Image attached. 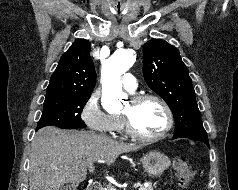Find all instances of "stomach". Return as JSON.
Listing matches in <instances>:
<instances>
[{"instance_id": "1", "label": "stomach", "mask_w": 238, "mask_h": 190, "mask_svg": "<svg viewBox=\"0 0 238 190\" xmlns=\"http://www.w3.org/2000/svg\"><path fill=\"white\" fill-rule=\"evenodd\" d=\"M141 161L144 171L150 177L160 176L171 164L170 159L158 151H151L145 154Z\"/></svg>"}]
</instances>
